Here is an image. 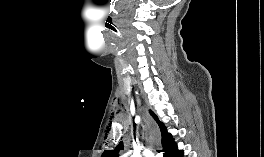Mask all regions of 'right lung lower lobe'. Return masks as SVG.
<instances>
[{
    "label": "right lung lower lobe",
    "instance_id": "1",
    "mask_svg": "<svg viewBox=\"0 0 264 157\" xmlns=\"http://www.w3.org/2000/svg\"><path fill=\"white\" fill-rule=\"evenodd\" d=\"M162 152L164 153L163 157H184V152L177 148L174 141Z\"/></svg>",
    "mask_w": 264,
    "mask_h": 157
}]
</instances>
